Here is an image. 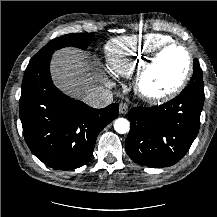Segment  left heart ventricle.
<instances>
[{
    "mask_svg": "<svg viewBox=\"0 0 217 217\" xmlns=\"http://www.w3.org/2000/svg\"><path fill=\"white\" fill-rule=\"evenodd\" d=\"M188 59L181 49L165 51L149 71L144 87L148 92L161 93L172 89L187 70Z\"/></svg>",
    "mask_w": 217,
    "mask_h": 217,
    "instance_id": "1",
    "label": "left heart ventricle"
}]
</instances>
